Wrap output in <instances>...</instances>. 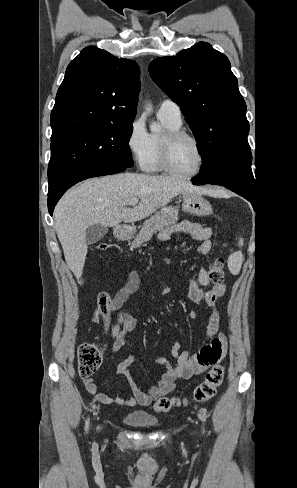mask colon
<instances>
[{
	"mask_svg": "<svg viewBox=\"0 0 297 488\" xmlns=\"http://www.w3.org/2000/svg\"><path fill=\"white\" fill-rule=\"evenodd\" d=\"M99 250L117 249L111 243H100ZM222 259L213 258L209 263V278L213 284L219 286L223 282ZM112 311V299L107 292H101L98 296V312L108 316ZM78 371L81 377H91L101 366L103 350L100 346L85 343L78 348ZM224 378V367L217 363L205 375L193 391L192 400L195 403H203L210 400L216 393ZM188 404V400L177 396H163L159 398L154 409L159 413L168 412L172 408Z\"/></svg>",
	"mask_w": 297,
	"mask_h": 488,
	"instance_id": "5ec220e1",
	"label": "colon"
}]
</instances>
